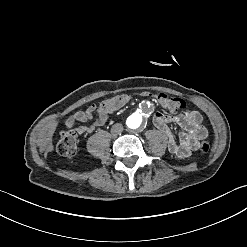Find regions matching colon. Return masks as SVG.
<instances>
[{
	"label": "colon",
	"instance_id": "colon-1",
	"mask_svg": "<svg viewBox=\"0 0 247 247\" xmlns=\"http://www.w3.org/2000/svg\"><path fill=\"white\" fill-rule=\"evenodd\" d=\"M146 96L151 94L149 89L144 91ZM132 98V95L128 92H115L114 96H109L105 101L106 109H119L121 105H124L126 101ZM158 101H161V107L163 109H170L175 112H180L184 108V103L182 100L177 99L175 97H169L167 92H158L156 95ZM57 152L67 158H72L77 153V138L72 133H64L60 137L57 143ZM212 149V145L209 141H204L200 150L207 154ZM181 154H185L183 151Z\"/></svg>",
	"mask_w": 247,
	"mask_h": 247
}]
</instances>
